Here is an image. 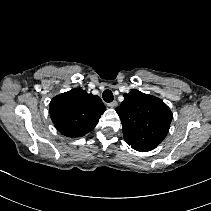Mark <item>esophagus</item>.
<instances>
[{"label":"esophagus","instance_id":"34e87169","mask_svg":"<svg viewBox=\"0 0 211 211\" xmlns=\"http://www.w3.org/2000/svg\"><path fill=\"white\" fill-rule=\"evenodd\" d=\"M107 105L110 108H115L117 106V102L116 101H112V102L108 103Z\"/></svg>","mask_w":211,"mask_h":211}]
</instances>
